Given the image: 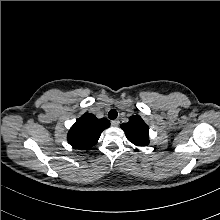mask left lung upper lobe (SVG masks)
I'll list each match as a JSON object with an SVG mask.
<instances>
[{"mask_svg": "<svg viewBox=\"0 0 220 220\" xmlns=\"http://www.w3.org/2000/svg\"><path fill=\"white\" fill-rule=\"evenodd\" d=\"M127 139L136 146H147L149 144V127L140 116H131L127 123H123Z\"/></svg>", "mask_w": 220, "mask_h": 220, "instance_id": "5c2ea615", "label": "left lung upper lobe"}]
</instances>
